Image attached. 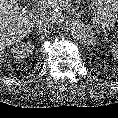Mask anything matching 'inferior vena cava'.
<instances>
[{"mask_svg":"<svg viewBox=\"0 0 118 118\" xmlns=\"http://www.w3.org/2000/svg\"><path fill=\"white\" fill-rule=\"evenodd\" d=\"M55 23H57L56 18L47 16V15L40 16L39 18H37V20L35 22L36 28L41 33L42 32H46L48 29H50L51 27H53V25Z\"/></svg>","mask_w":118,"mask_h":118,"instance_id":"1","label":"inferior vena cava"}]
</instances>
